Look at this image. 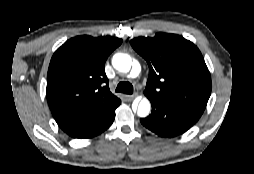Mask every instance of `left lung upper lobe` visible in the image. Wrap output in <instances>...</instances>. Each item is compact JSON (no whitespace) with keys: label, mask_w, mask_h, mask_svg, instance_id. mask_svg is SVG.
Listing matches in <instances>:
<instances>
[{"label":"left lung upper lobe","mask_w":254,"mask_h":174,"mask_svg":"<svg viewBox=\"0 0 254 174\" xmlns=\"http://www.w3.org/2000/svg\"><path fill=\"white\" fill-rule=\"evenodd\" d=\"M148 63L144 94L200 115L211 94V76L199 49L182 36L157 33L130 41Z\"/></svg>","instance_id":"left-lung-upper-lobe-1"}]
</instances>
